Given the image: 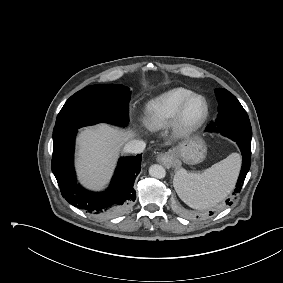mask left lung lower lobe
I'll list each match as a JSON object with an SVG mask.
<instances>
[{"label": "left lung lower lobe", "instance_id": "obj_1", "mask_svg": "<svg viewBox=\"0 0 283 283\" xmlns=\"http://www.w3.org/2000/svg\"><path fill=\"white\" fill-rule=\"evenodd\" d=\"M207 130H209L208 127H207ZM235 142L237 143L242 153V167H241V171H240L238 181L236 183V187L234 189L233 194L240 192L243 182L245 180V177L250 169V164H251V142H243V141H235ZM226 204L228 205L231 204L230 199L226 200ZM211 214L212 212H210V215Z\"/></svg>", "mask_w": 283, "mask_h": 283}]
</instances>
